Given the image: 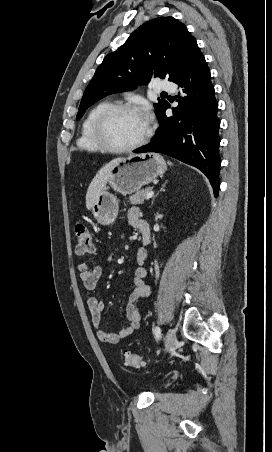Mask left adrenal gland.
Returning a JSON list of instances; mask_svg holds the SVG:
<instances>
[{
  "mask_svg": "<svg viewBox=\"0 0 272 452\" xmlns=\"http://www.w3.org/2000/svg\"><path fill=\"white\" fill-rule=\"evenodd\" d=\"M167 182H168V180L163 184V186H162V188H161L160 191H163V190H164V187H165V185L167 184ZM158 194H159V193H157V194L155 195V197L152 199V205L154 204V201H155L156 197L158 196Z\"/></svg>",
  "mask_w": 272,
  "mask_h": 452,
  "instance_id": "obj_1",
  "label": "left adrenal gland"
}]
</instances>
